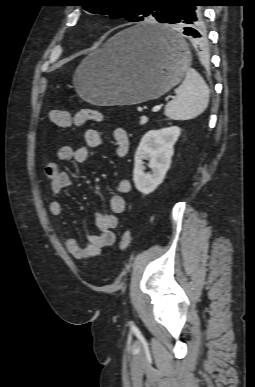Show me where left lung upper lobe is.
I'll use <instances>...</instances> for the list:
<instances>
[{
	"label": "left lung upper lobe",
	"instance_id": "5c2ea615",
	"mask_svg": "<svg viewBox=\"0 0 255 387\" xmlns=\"http://www.w3.org/2000/svg\"><path fill=\"white\" fill-rule=\"evenodd\" d=\"M182 0H78V5L93 14L125 18L130 22L143 21L151 16L165 22L169 7Z\"/></svg>",
	"mask_w": 255,
	"mask_h": 387
}]
</instances>
